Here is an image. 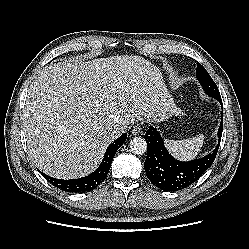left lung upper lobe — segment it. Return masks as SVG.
Masks as SVG:
<instances>
[{"instance_id": "obj_1", "label": "left lung upper lobe", "mask_w": 249, "mask_h": 249, "mask_svg": "<svg viewBox=\"0 0 249 249\" xmlns=\"http://www.w3.org/2000/svg\"><path fill=\"white\" fill-rule=\"evenodd\" d=\"M196 78L207 95L215 99L221 98L215 82L200 63L197 64Z\"/></svg>"}]
</instances>
